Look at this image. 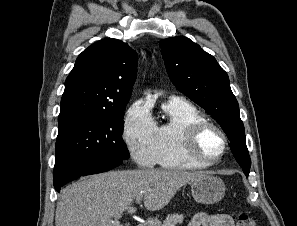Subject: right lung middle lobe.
I'll use <instances>...</instances> for the list:
<instances>
[{"instance_id": "1", "label": "right lung middle lobe", "mask_w": 297, "mask_h": 226, "mask_svg": "<svg viewBox=\"0 0 297 226\" xmlns=\"http://www.w3.org/2000/svg\"><path fill=\"white\" fill-rule=\"evenodd\" d=\"M123 115L84 114L59 120L55 164L87 156L128 159Z\"/></svg>"}]
</instances>
